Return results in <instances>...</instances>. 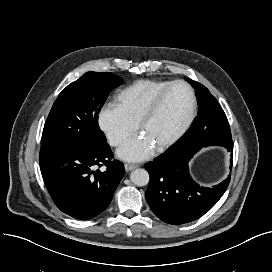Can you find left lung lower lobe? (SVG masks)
<instances>
[{
  "label": "left lung lower lobe",
  "instance_id": "obj_1",
  "mask_svg": "<svg viewBox=\"0 0 272 272\" xmlns=\"http://www.w3.org/2000/svg\"><path fill=\"white\" fill-rule=\"evenodd\" d=\"M221 145L233 153L232 139L223 144L202 142L198 134L187 133L165 153L145 164L150 174L146 199L164 222L180 225L203 216L226 191L230 177L214 187H203L190 176L188 161L202 147ZM232 166H230V169Z\"/></svg>",
  "mask_w": 272,
  "mask_h": 272
}]
</instances>
